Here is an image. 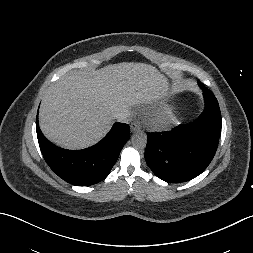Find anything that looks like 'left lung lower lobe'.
Masks as SVG:
<instances>
[{
  "mask_svg": "<svg viewBox=\"0 0 253 253\" xmlns=\"http://www.w3.org/2000/svg\"><path fill=\"white\" fill-rule=\"evenodd\" d=\"M205 109L192 123L171 131L147 133L145 160L160 179L185 182L201 174L212 161L221 134V113L213 93L202 83Z\"/></svg>",
  "mask_w": 253,
  "mask_h": 253,
  "instance_id": "1",
  "label": "left lung lower lobe"
}]
</instances>
